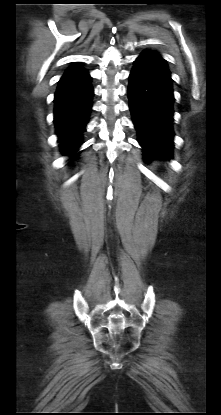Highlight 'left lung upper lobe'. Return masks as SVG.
Masks as SVG:
<instances>
[{
  "label": "left lung upper lobe",
  "mask_w": 221,
  "mask_h": 415,
  "mask_svg": "<svg viewBox=\"0 0 221 415\" xmlns=\"http://www.w3.org/2000/svg\"><path fill=\"white\" fill-rule=\"evenodd\" d=\"M143 53H151V54H154V55H157V56H159V54L158 53H156V52H153V51H144ZM160 57V56H159ZM161 58V57H160ZM162 59V58H161ZM164 60V59H163Z\"/></svg>",
  "instance_id": "obj_1"
}]
</instances>
